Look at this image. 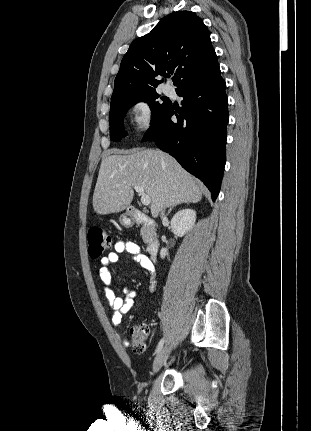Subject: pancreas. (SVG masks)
I'll list each match as a JSON object with an SVG mask.
<instances>
[{
  "label": "pancreas",
  "mask_w": 311,
  "mask_h": 431,
  "mask_svg": "<svg viewBox=\"0 0 311 431\" xmlns=\"http://www.w3.org/2000/svg\"><path fill=\"white\" fill-rule=\"evenodd\" d=\"M140 235H142L144 243H152L154 239L153 227H149V225H142L140 229Z\"/></svg>",
  "instance_id": "1"
}]
</instances>
